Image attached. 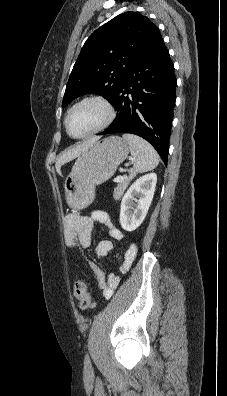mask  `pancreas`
<instances>
[{"instance_id": "cf45deb5", "label": "pancreas", "mask_w": 227, "mask_h": 396, "mask_svg": "<svg viewBox=\"0 0 227 396\" xmlns=\"http://www.w3.org/2000/svg\"><path fill=\"white\" fill-rule=\"evenodd\" d=\"M133 177L134 174L132 173L129 177L123 178V180L118 183L117 187L114 189L113 192V197L115 200H119L121 198Z\"/></svg>"}]
</instances>
